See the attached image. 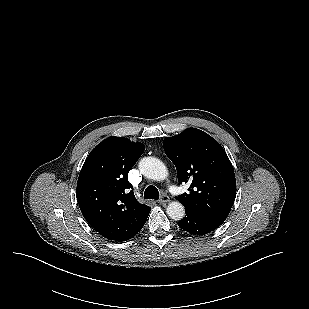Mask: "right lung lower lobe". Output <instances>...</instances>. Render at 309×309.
Segmentation results:
<instances>
[{
    "instance_id": "98d812e1",
    "label": "right lung lower lobe",
    "mask_w": 309,
    "mask_h": 309,
    "mask_svg": "<svg viewBox=\"0 0 309 309\" xmlns=\"http://www.w3.org/2000/svg\"><path fill=\"white\" fill-rule=\"evenodd\" d=\"M143 227V226H142ZM142 227L135 233V234H133V235H131L130 237H128V238H126V239H124V240H122V241H126V240H129L130 238H132L134 235H136L141 229H142ZM120 242V241H119Z\"/></svg>"
}]
</instances>
